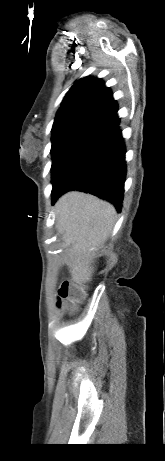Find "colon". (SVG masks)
I'll return each instance as SVG.
<instances>
[{
	"label": "colon",
	"instance_id": "1",
	"mask_svg": "<svg viewBox=\"0 0 165 461\" xmlns=\"http://www.w3.org/2000/svg\"><path fill=\"white\" fill-rule=\"evenodd\" d=\"M86 297L85 290L70 280L61 283L57 295V306L61 307L63 302L68 303L70 310H74Z\"/></svg>",
	"mask_w": 165,
	"mask_h": 461
}]
</instances>
